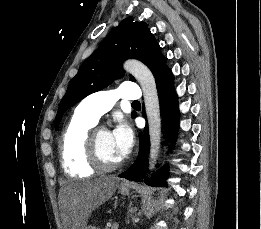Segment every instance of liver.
Returning a JSON list of instances; mask_svg holds the SVG:
<instances>
[{
    "label": "liver",
    "mask_w": 261,
    "mask_h": 229,
    "mask_svg": "<svg viewBox=\"0 0 261 229\" xmlns=\"http://www.w3.org/2000/svg\"><path fill=\"white\" fill-rule=\"evenodd\" d=\"M121 179L100 177L68 185L64 221L68 229H84L88 217L114 195Z\"/></svg>",
    "instance_id": "6515ba94"
}]
</instances>
